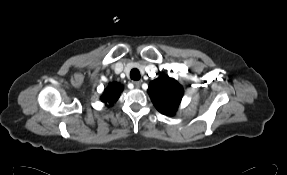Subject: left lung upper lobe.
<instances>
[{
	"label": "left lung upper lobe",
	"instance_id": "obj_1",
	"mask_svg": "<svg viewBox=\"0 0 287 175\" xmlns=\"http://www.w3.org/2000/svg\"><path fill=\"white\" fill-rule=\"evenodd\" d=\"M148 93L159 112L173 116L181 102L183 88L175 79L162 74L150 82Z\"/></svg>",
	"mask_w": 287,
	"mask_h": 175
}]
</instances>
